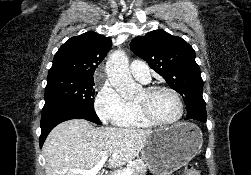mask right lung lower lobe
Wrapping results in <instances>:
<instances>
[{
  "instance_id": "obj_1",
  "label": "right lung lower lobe",
  "mask_w": 251,
  "mask_h": 175,
  "mask_svg": "<svg viewBox=\"0 0 251 175\" xmlns=\"http://www.w3.org/2000/svg\"><path fill=\"white\" fill-rule=\"evenodd\" d=\"M85 119L101 125L94 109H88L64 103H47L42 109L41 136L39 139L42 147L49 132L59 123L70 119Z\"/></svg>"
}]
</instances>
